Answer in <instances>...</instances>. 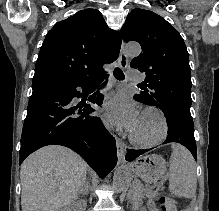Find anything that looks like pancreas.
<instances>
[{"instance_id": "cf45deb5", "label": "pancreas", "mask_w": 219, "mask_h": 211, "mask_svg": "<svg viewBox=\"0 0 219 211\" xmlns=\"http://www.w3.org/2000/svg\"><path fill=\"white\" fill-rule=\"evenodd\" d=\"M134 187V195H129V200H134L135 203H140L141 200L146 199L147 197H155L156 191H153L152 187L148 185V187L144 186H133Z\"/></svg>"}]
</instances>
